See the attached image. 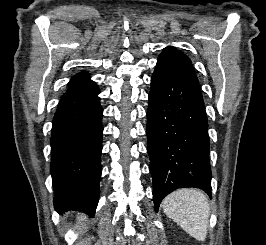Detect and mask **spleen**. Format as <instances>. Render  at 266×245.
Returning <instances> with one entry per match:
<instances>
[{
	"label": "spleen",
	"instance_id": "3e777b00",
	"mask_svg": "<svg viewBox=\"0 0 266 245\" xmlns=\"http://www.w3.org/2000/svg\"><path fill=\"white\" fill-rule=\"evenodd\" d=\"M165 215L196 241H205L209 225V203L202 191L180 189L162 201Z\"/></svg>",
	"mask_w": 266,
	"mask_h": 245
}]
</instances>
